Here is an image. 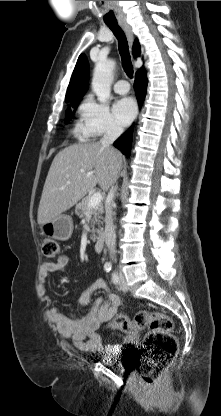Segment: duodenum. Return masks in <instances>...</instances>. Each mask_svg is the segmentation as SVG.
<instances>
[{"label": "duodenum", "instance_id": "obj_1", "mask_svg": "<svg viewBox=\"0 0 221 416\" xmlns=\"http://www.w3.org/2000/svg\"><path fill=\"white\" fill-rule=\"evenodd\" d=\"M104 245H105V234H104V232H101L97 236V238L95 240V243H94V249H95V251L97 253L102 252L103 251V248H104Z\"/></svg>", "mask_w": 221, "mask_h": 416}]
</instances>
